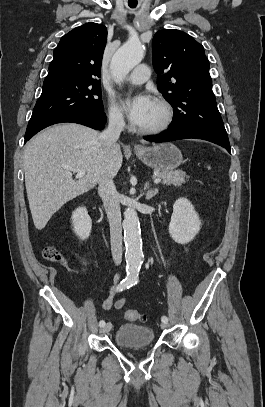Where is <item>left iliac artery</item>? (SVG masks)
<instances>
[{
    "instance_id": "obj_1",
    "label": "left iliac artery",
    "mask_w": 265,
    "mask_h": 407,
    "mask_svg": "<svg viewBox=\"0 0 265 407\" xmlns=\"http://www.w3.org/2000/svg\"><path fill=\"white\" fill-rule=\"evenodd\" d=\"M137 283H138V279H135L134 284H137ZM161 320H162V322H166V323L168 322L167 316H162Z\"/></svg>"
}]
</instances>
